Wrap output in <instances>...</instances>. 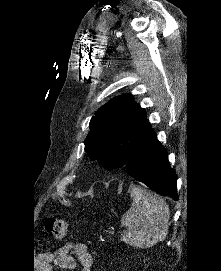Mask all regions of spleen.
<instances>
[{"label": "spleen", "instance_id": "obj_1", "mask_svg": "<svg viewBox=\"0 0 221 271\" xmlns=\"http://www.w3.org/2000/svg\"><path fill=\"white\" fill-rule=\"evenodd\" d=\"M170 209L168 203L148 193L146 189H132V205L120 221L127 227L122 241L133 247H152L163 241L168 233Z\"/></svg>", "mask_w": 221, "mask_h": 271}]
</instances>
